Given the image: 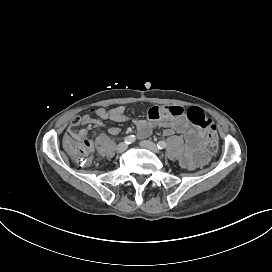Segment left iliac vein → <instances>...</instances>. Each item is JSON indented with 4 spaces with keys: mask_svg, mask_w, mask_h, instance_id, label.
<instances>
[{
    "mask_svg": "<svg viewBox=\"0 0 272 272\" xmlns=\"http://www.w3.org/2000/svg\"><path fill=\"white\" fill-rule=\"evenodd\" d=\"M140 145L143 147V148H146L154 153H159V149L157 147L156 144H154L152 141H149V140H144V141H141L140 142Z\"/></svg>",
    "mask_w": 272,
    "mask_h": 272,
    "instance_id": "obj_1",
    "label": "left iliac vein"
}]
</instances>
